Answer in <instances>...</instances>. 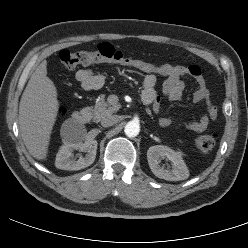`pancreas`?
I'll return each instance as SVG.
<instances>
[{
  "label": "pancreas",
  "instance_id": "1",
  "mask_svg": "<svg viewBox=\"0 0 248 248\" xmlns=\"http://www.w3.org/2000/svg\"><path fill=\"white\" fill-rule=\"evenodd\" d=\"M120 107L121 105L119 104L110 106L102 97L101 100L96 103L94 107L89 108V110L92 112L93 119L95 121H99L102 118H105L117 112Z\"/></svg>",
  "mask_w": 248,
  "mask_h": 248
}]
</instances>
